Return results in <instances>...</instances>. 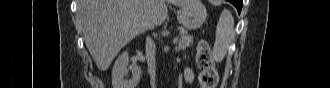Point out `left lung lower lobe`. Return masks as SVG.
I'll list each match as a JSON object with an SVG mask.
<instances>
[{
  "instance_id": "left-lung-lower-lobe-1",
  "label": "left lung lower lobe",
  "mask_w": 330,
  "mask_h": 88,
  "mask_svg": "<svg viewBox=\"0 0 330 88\" xmlns=\"http://www.w3.org/2000/svg\"><path fill=\"white\" fill-rule=\"evenodd\" d=\"M229 2H231L238 10V13L240 14L241 9H242V0H228Z\"/></svg>"
}]
</instances>
